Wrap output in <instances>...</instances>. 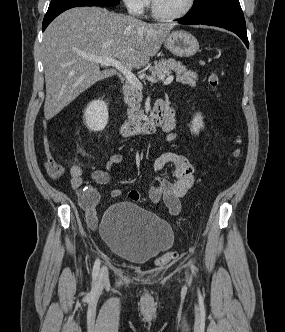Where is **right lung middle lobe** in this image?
I'll use <instances>...</instances> for the list:
<instances>
[{"label":"right lung middle lobe","mask_w":285,"mask_h":332,"mask_svg":"<svg viewBox=\"0 0 285 332\" xmlns=\"http://www.w3.org/2000/svg\"><path fill=\"white\" fill-rule=\"evenodd\" d=\"M67 2H91L104 6H116L119 4L120 0H51L50 6Z\"/></svg>","instance_id":"1"}]
</instances>
